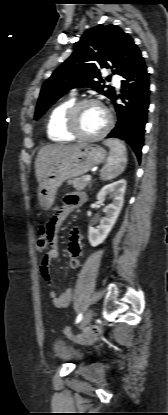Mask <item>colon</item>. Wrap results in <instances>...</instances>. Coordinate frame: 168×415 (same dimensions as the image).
Here are the masks:
<instances>
[{
    "instance_id": "1",
    "label": "colon",
    "mask_w": 168,
    "mask_h": 415,
    "mask_svg": "<svg viewBox=\"0 0 168 415\" xmlns=\"http://www.w3.org/2000/svg\"><path fill=\"white\" fill-rule=\"evenodd\" d=\"M48 244V238H47V232L45 225H41L39 228L38 238L36 241L37 248L39 250H43L46 245ZM40 262L44 261L43 257L39 258ZM101 329L99 326H93L91 328L86 329L81 334H75L73 333L68 327H65L63 332L67 336H73L81 341H91L93 340L99 333Z\"/></svg>"
}]
</instances>
